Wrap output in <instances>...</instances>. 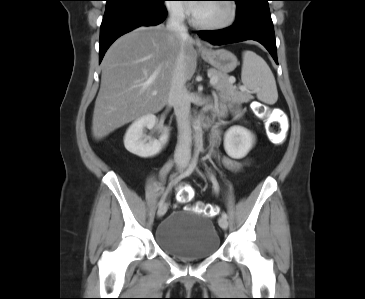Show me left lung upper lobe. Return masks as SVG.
<instances>
[{
  "instance_id": "5c2ea615",
  "label": "left lung upper lobe",
  "mask_w": 365,
  "mask_h": 299,
  "mask_svg": "<svg viewBox=\"0 0 365 299\" xmlns=\"http://www.w3.org/2000/svg\"><path fill=\"white\" fill-rule=\"evenodd\" d=\"M236 3H240V2H243V1H247V0H234Z\"/></svg>"
}]
</instances>
